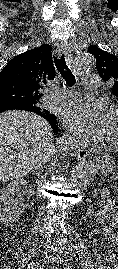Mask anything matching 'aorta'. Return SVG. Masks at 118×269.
Wrapping results in <instances>:
<instances>
[{
  "mask_svg": "<svg viewBox=\"0 0 118 269\" xmlns=\"http://www.w3.org/2000/svg\"><path fill=\"white\" fill-rule=\"evenodd\" d=\"M95 65L94 56L89 53H81L77 56L75 61V71L78 74L90 72ZM95 171L94 164L91 161L80 163L75 167L71 174V181L79 183L91 178Z\"/></svg>",
  "mask_w": 118,
  "mask_h": 269,
  "instance_id": "1",
  "label": "aorta"
}]
</instances>
